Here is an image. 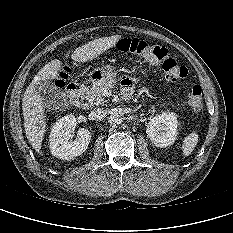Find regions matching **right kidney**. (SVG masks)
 <instances>
[{"label": "right kidney", "mask_w": 233, "mask_h": 233, "mask_svg": "<svg viewBox=\"0 0 233 233\" xmlns=\"http://www.w3.org/2000/svg\"><path fill=\"white\" fill-rule=\"evenodd\" d=\"M76 124L77 120L74 115H66L54 124L49 137L50 151L53 156L63 160H72L86 151L91 140L89 130L80 129L77 133L78 138L74 141L70 140Z\"/></svg>", "instance_id": "1"}]
</instances>
